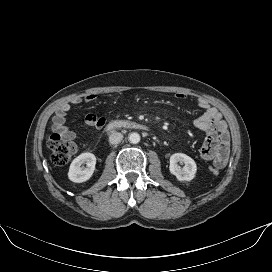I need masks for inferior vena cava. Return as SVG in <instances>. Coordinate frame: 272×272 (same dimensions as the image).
Here are the masks:
<instances>
[{"label":"inferior vena cava","mask_w":272,"mask_h":272,"mask_svg":"<svg viewBox=\"0 0 272 272\" xmlns=\"http://www.w3.org/2000/svg\"><path fill=\"white\" fill-rule=\"evenodd\" d=\"M123 139V135L119 132H112L109 136V143L112 145L118 144Z\"/></svg>","instance_id":"1"}]
</instances>
